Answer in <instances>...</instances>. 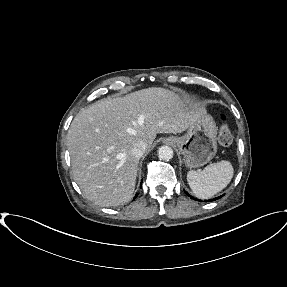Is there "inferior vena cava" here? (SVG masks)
Instances as JSON below:
<instances>
[{"label": "inferior vena cava", "instance_id": "obj_1", "mask_svg": "<svg viewBox=\"0 0 287 287\" xmlns=\"http://www.w3.org/2000/svg\"><path fill=\"white\" fill-rule=\"evenodd\" d=\"M146 151V145L144 142L140 141L134 145L131 150L132 155L135 158H140Z\"/></svg>", "mask_w": 287, "mask_h": 287}]
</instances>
